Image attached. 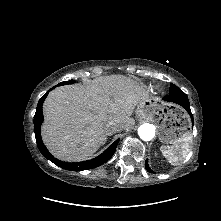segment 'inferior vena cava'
<instances>
[{"label":"inferior vena cava","mask_w":221,"mask_h":221,"mask_svg":"<svg viewBox=\"0 0 221 221\" xmlns=\"http://www.w3.org/2000/svg\"><path fill=\"white\" fill-rule=\"evenodd\" d=\"M105 130L107 135H110L112 133H116L118 131L121 130V127L116 125L114 122L109 121L106 125H105Z\"/></svg>","instance_id":"inferior-vena-cava-1"}]
</instances>
